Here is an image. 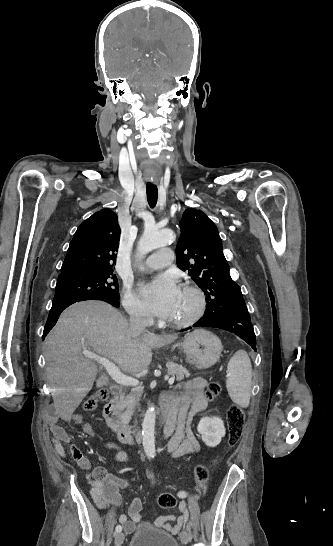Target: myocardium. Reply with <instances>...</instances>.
Here are the masks:
<instances>
[{"label":"myocardium","instance_id":"f54148a6","mask_svg":"<svg viewBox=\"0 0 333 546\" xmlns=\"http://www.w3.org/2000/svg\"><path fill=\"white\" fill-rule=\"evenodd\" d=\"M183 289L195 298V308L193 312L183 320H171L169 319V324L175 328H186L195 324L204 314L206 309V297L204 292L194 283L186 282L183 285Z\"/></svg>","mask_w":333,"mask_h":546}]
</instances>
